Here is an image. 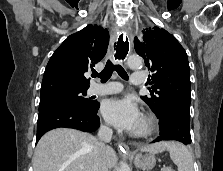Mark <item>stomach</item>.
<instances>
[{
  "label": "stomach",
  "instance_id": "stomach-1",
  "mask_svg": "<svg viewBox=\"0 0 223 171\" xmlns=\"http://www.w3.org/2000/svg\"><path fill=\"white\" fill-rule=\"evenodd\" d=\"M134 164L143 171H150L156 164V158L154 154H136L134 158Z\"/></svg>",
  "mask_w": 223,
  "mask_h": 171
}]
</instances>
